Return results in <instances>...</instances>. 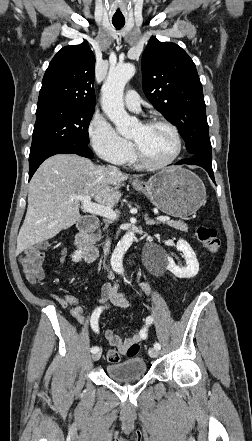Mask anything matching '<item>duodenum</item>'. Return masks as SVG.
<instances>
[{"label": "duodenum", "instance_id": "1", "mask_svg": "<svg viewBox=\"0 0 252 441\" xmlns=\"http://www.w3.org/2000/svg\"><path fill=\"white\" fill-rule=\"evenodd\" d=\"M100 222L96 216H89L83 220L79 232L75 237V245L82 252L87 261H95L98 257V250L95 248L90 233L98 228Z\"/></svg>", "mask_w": 252, "mask_h": 441}]
</instances>
